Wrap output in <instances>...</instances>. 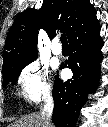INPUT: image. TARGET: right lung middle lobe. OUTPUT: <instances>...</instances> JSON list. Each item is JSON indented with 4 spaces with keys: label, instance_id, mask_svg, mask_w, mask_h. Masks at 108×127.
I'll use <instances>...</instances> for the list:
<instances>
[{
    "label": "right lung middle lobe",
    "instance_id": "1",
    "mask_svg": "<svg viewBox=\"0 0 108 127\" xmlns=\"http://www.w3.org/2000/svg\"><path fill=\"white\" fill-rule=\"evenodd\" d=\"M36 57L29 58L22 60L20 62L10 64V65H4L2 66L3 69V86H6L9 82H17L18 76L20 74V71L29 63L33 62Z\"/></svg>",
    "mask_w": 108,
    "mask_h": 127
}]
</instances>
